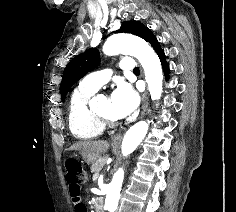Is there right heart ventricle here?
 <instances>
[{
  "mask_svg": "<svg viewBox=\"0 0 236 212\" xmlns=\"http://www.w3.org/2000/svg\"><path fill=\"white\" fill-rule=\"evenodd\" d=\"M97 90L80 83L71 95L68 122L71 133L78 139H94L105 131V126L89 107V100Z\"/></svg>",
  "mask_w": 236,
  "mask_h": 212,
  "instance_id": "right-heart-ventricle-1",
  "label": "right heart ventricle"
}]
</instances>
